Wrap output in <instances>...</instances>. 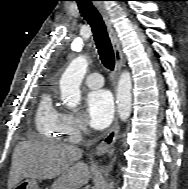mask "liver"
Here are the masks:
<instances>
[{"label":"liver","instance_id":"obj_1","mask_svg":"<svg viewBox=\"0 0 188 189\" xmlns=\"http://www.w3.org/2000/svg\"><path fill=\"white\" fill-rule=\"evenodd\" d=\"M82 150L53 141L20 142L14 149L8 178L12 189L24 178L54 179L62 189H77L88 183L91 172L83 161Z\"/></svg>","mask_w":188,"mask_h":189}]
</instances>
